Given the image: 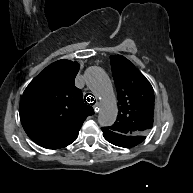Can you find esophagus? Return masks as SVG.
<instances>
[{
    "instance_id": "34e87169",
    "label": "esophagus",
    "mask_w": 193,
    "mask_h": 193,
    "mask_svg": "<svg viewBox=\"0 0 193 193\" xmlns=\"http://www.w3.org/2000/svg\"><path fill=\"white\" fill-rule=\"evenodd\" d=\"M101 104L99 102L96 103V106L94 107L95 113H98L100 111Z\"/></svg>"
}]
</instances>
